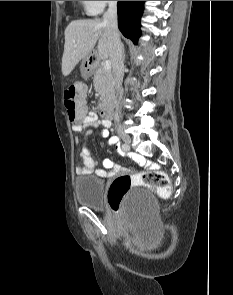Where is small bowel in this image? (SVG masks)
<instances>
[{"mask_svg":"<svg viewBox=\"0 0 233 295\" xmlns=\"http://www.w3.org/2000/svg\"><path fill=\"white\" fill-rule=\"evenodd\" d=\"M110 126V120L99 119L94 112L88 111L85 113L84 117L80 121L73 123L72 129L75 132L82 133L85 132L88 128H100V137L108 138V144L110 146H117L118 138L115 136L110 137ZM101 145L103 146L102 143ZM80 158L82 160V166L76 168L77 173H95L100 178H111L118 172L126 170L110 158H106L103 161L104 169L96 168L95 160L92 157L90 151L86 147H83L81 149ZM146 166L152 169L157 168L156 165L149 162L146 163Z\"/></svg>","mask_w":233,"mask_h":295,"instance_id":"c3829d8e","label":"small bowel"}]
</instances>
